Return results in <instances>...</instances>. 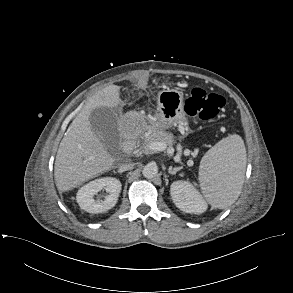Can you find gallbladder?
Instances as JSON below:
<instances>
[{"instance_id":"gallbladder-1","label":"gallbladder","mask_w":293,"mask_h":293,"mask_svg":"<svg viewBox=\"0 0 293 293\" xmlns=\"http://www.w3.org/2000/svg\"><path fill=\"white\" fill-rule=\"evenodd\" d=\"M117 122L116 113L108 107H97L90 114L92 130L106 144L118 139Z\"/></svg>"}]
</instances>
